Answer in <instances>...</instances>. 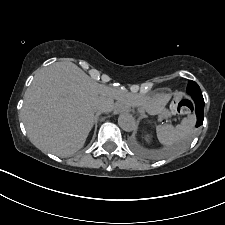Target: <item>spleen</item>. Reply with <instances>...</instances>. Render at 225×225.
I'll return each mask as SVG.
<instances>
[{"instance_id": "1", "label": "spleen", "mask_w": 225, "mask_h": 225, "mask_svg": "<svg viewBox=\"0 0 225 225\" xmlns=\"http://www.w3.org/2000/svg\"><path fill=\"white\" fill-rule=\"evenodd\" d=\"M195 124V117L189 116L182 119L176 127L172 125H158L156 127L157 138L165 146H171L187 137Z\"/></svg>"}]
</instances>
